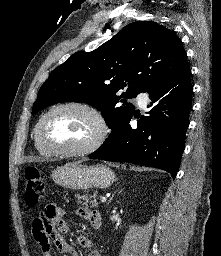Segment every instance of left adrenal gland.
Returning <instances> with one entry per match:
<instances>
[{
  "instance_id": "obj_1",
  "label": "left adrenal gland",
  "mask_w": 221,
  "mask_h": 256,
  "mask_svg": "<svg viewBox=\"0 0 221 256\" xmlns=\"http://www.w3.org/2000/svg\"><path fill=\"white\" fill-rule=\"evenodd\" d=\"M115 193L112 195V197L109 199L108 204L112 201L113 197H114Z\"/></svg>"
}]
</instances>
